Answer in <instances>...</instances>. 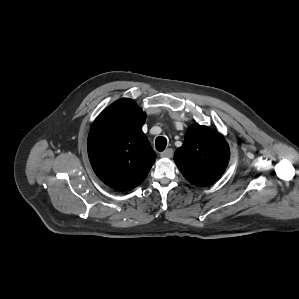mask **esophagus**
Segmentation results:
<instances>
[{"label":"esophagus","instance_id":"obj_1","mask_svg":"<svg viewBox=\"0 0 299 299\" xmlns=\"http://www.w3.org/2000/svg\"><path fill=\"white\" fill-rule=\"evenodd\" d=\"M173 149L168 148L166 150H164L163 152H161L160 156L162 158H171L173 156Z\"/></svg>","mask_w":299,"mask_h":299}]
</instances>
